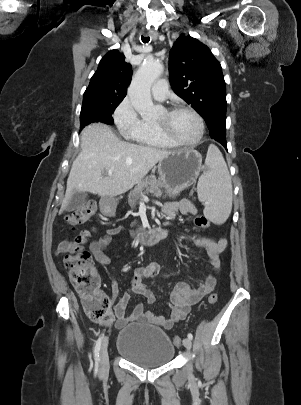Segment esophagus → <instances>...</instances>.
I'll use <instances>...</instances> for the list:
<instances>
[{
  "instance_id": "34e87169",
  "label": "esophagus",
  "mask_w": 301,
  "mask_h": 405,
  "mask_svg": "<svg viewBox=\"0 0 301 405\" xmlns=\"http://www.w3.org/2000/svg\"><path fill=\"white\" fill-rule=\"evenodd\" d=\"M148 37H150L151 39L155 40L158 37V34L156 32H149L147 34Z\"/></svg>"
}]
</instances>
